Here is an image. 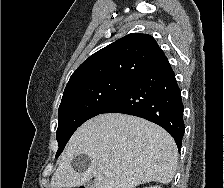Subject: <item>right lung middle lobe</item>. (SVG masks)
Returning <instances> with one entry per match:
<instances>
[{
    "instance_id": "dd1d6c3e",
    "label": "right lung middle lobe",
    "mask_w": 224,
    "mask_h": 188,
    "mask_svg": "<svg viewBox=\"0 0 224 188\" xmlns=\"http://www.w3.org/2000/svg\"><path fill=\"white\" fill-rule=\"evenodd\" d=\"M133 82L129 78H106L65 88L58 110V151L62 153L74 131L88 119L98 115Z\"/></svg>"
}]
</instances>
